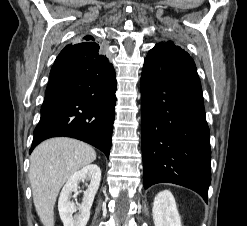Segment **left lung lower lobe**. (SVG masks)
<instances>
[{
    "label": "left lung lower lobe",
    "instance_id": "obj_1",
    "mask_svg": "<svg viewBox=\"0 0 247 226\" xmlns=\"http://www.w3.org/2000/svg\"><path fill=\"white\" fill-rule=\"evenodd\" d=\"M144 188L161 182L194 190L207 202L210 132L193 59L181 47L157 44L141 76Z\"/></svg>",
    "mask_w": 247,
    "mask_h": 226
}]
</instances>
